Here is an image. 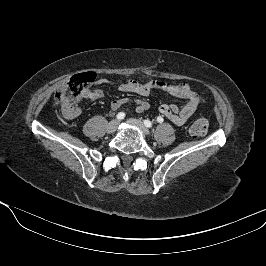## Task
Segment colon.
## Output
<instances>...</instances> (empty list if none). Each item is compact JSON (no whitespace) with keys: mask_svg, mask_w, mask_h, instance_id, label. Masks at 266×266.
Returning a JSON list of instances; mask_svg holds the SVG:
<instances>
[{"mask_svg":"<svg viewBox=\"0 0 266 266\" xmlns=\"http://www.w3.org/2000/svg\"><path fill=\"white\" fill-rule=\"evenodd\" d=\"M95 80L94 73H83L71 77L55 93L56 101L63 110L71 111L82 99L86 88ZM208 131V121L204 117H198L190 127L193 137L204 136Z\"/></svg>","mask_w":266,"mask_h":266,"instance_id":"5ec220e1","label":"colon"}]
</instances>
